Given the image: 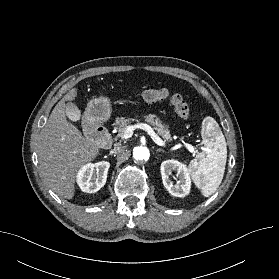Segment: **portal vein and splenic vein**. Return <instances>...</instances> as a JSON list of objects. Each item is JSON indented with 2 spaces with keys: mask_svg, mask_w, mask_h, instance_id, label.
<instances>
[{
  "mask_svg": "<svg viewBox=\"0 0 279 279\" xmlns=\"http://www.w3.org/2000/svg\"><path fill=\"white\" fill-rule=\"evenodd\" d=\"M140 128L148 133V135L152 138V140L158 144L159 146H165V142L155 133V131L145 123H138L135 125H129L124 130L121 138L122 139H128L133 135V132L135 129ZM184 146L191 152L195 153V149L191 144L184 143Z\"/></svg>",
  "mask_w": 279,
  "mask_h": 279,
  "instance_id": "obj_1",
  "label": "portal vein and splenic vein"
}]
</instances>
